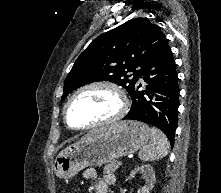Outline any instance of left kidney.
<instances>
[{"mask_svg": "<svg viewBox=\"0 0 221 193\" xmlns=\"http://www.w3.org/2000/svg\"><path fill=\"white\" fill-rule=\"evenodd\" d=\"M138 172L143 173L146 176V185L142 187L141 193H150L155 183V172L150 165H142L136 167L131 171L130 176L134 177Z\"/></svg>", "mask_w": 221, "mask_h": 193, "instance_id": "1", "label": "left kidney"}]
</instances>
